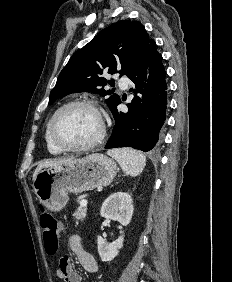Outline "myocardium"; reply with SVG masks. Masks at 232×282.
Returning <instances> with one entry per match:
<instances>
[{"label": "myocardium", "mask_w": 232, "mask_h": 282, "mask_svg": "<svg viewBox=\"0 0 232 282\" xmlns=\"http://www.w3.org/2000/svg\"><path fill=\"white\" fill-rule=\"evenodd\" d=\"M73 106H84V107H88L90 109H92L93 111L96 112V114L98 115L99 119H100V123H101V129H100V133L99 135L91 142L86 143V144H82V145H76V146H70V145H66L64 143H62L60 140H58V138L56 137L55 134V124L56 121L58 119V117L62 114V112H64L66 109L73 107ZM49 137L52 141V143L61 151H65V152H80V151H86V150H90L93 149L95 147H97L98 145H100L105 136H106V125H105V121L104 118L102 116V113L99 109V107L97 106V104L94 101L91 100H87V99H79V100H72L69 101L65 104H63L61 107H59L54 114L52 115L50 121H49Z\"/></svg>", "instance_id": "1"}]
</instances>
